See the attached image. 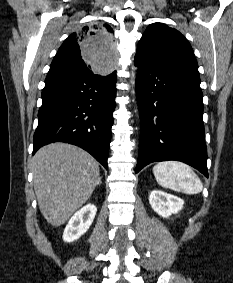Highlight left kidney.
Listing matches in <instances>:
<instances>
[{
	"label": "left kidney",
	"mask_w": 233,
	"mask_h": 283,
	"mask_svg": "<svg viewBox=\"0 0 233 283\" xmlns=\"http://www.w3.org/2000/svg\"><path fill=\"white\" fill-rule=\"evenodd\" d=\"M149 203L152 209L163 218L177 214L183 208L184 201L181 198L154 190L149 196Z\"/></svg>",
	"instance_id": "left-kidney-1"
}]
</instances>
